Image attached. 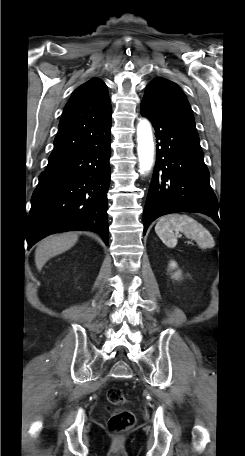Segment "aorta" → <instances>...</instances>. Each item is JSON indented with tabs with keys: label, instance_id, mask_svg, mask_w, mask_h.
I'll list each match as a JSON object with an SVG mask.
<instances>
[{
	"label": "aorta",
	"instance_id": "obj_1",
	"mask_svg": "<svg viewBox=\"0 0 245 456\" xmlns=\"http://www.w3.org/2000/svg\"><path fill=\"white\" fill-rule=\"evenodd\" d=\"M137 153L139 172H149L154 163V141L151 125L148 120L142 119L137 125Z\"/></svg>",
	"mask_w": 245,
	"mask_h": 456
}]
</instances>
